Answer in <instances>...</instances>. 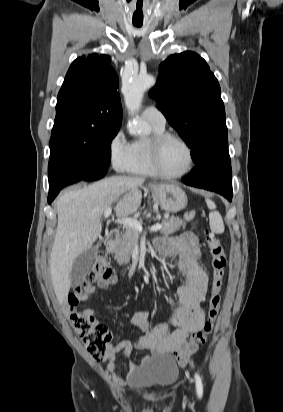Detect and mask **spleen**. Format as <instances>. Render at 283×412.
<instances>
[{
  "label": "spleen",
  "mask_w": 283,
  "mask_h": 412,
  "mask_svg": "<svg viewBox=\"0 0 283 412\" xmlns=\"http://www.w3.org/2000/svg\"><path fill=\"white\" fill-rule=\"evenodd\" d=\"M206 203L207 206L210 210H213L210 214H209V224H210V229L213 233L216 234H221L224 232L225 227H224V223H223V219L221 214L216 211V205L213 201H211L210 199H206Z\"/></svg>",
  "instance_id": "obj_1"
}]
</instances>
